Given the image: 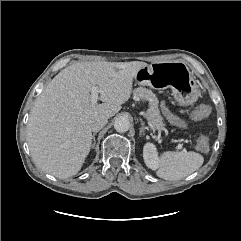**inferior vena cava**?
<instances>
[{
	"label": "inferior vena cava",
	"instance_id": "1",
	"mask_svg": "<svg viewBox=\"0 0 241 241\" xmlns=\"http://www.w3.org/2000/svg\"><path fill=\"white\" fill-rule=\"evenodd\" d=\"M108 122V118L106 116H99L91 122V131L98 132L101 130Z\"/></svg>",
	"mask_w": 241,
	"mask_h": 241
}]
</instances>
